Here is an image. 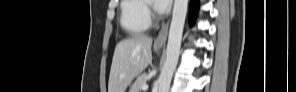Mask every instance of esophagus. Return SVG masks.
<instances>
[{
	"instance_id": "34e87169",
	"label": "esophagus",
	"mask_w": 296,
	"mask_h": 92,
	"mask_svg": "<svg viewBox=\"0 0 296 92\" xmlns=\"http://www.w3.org/2000/svg\"><path fill=\"white\" fill-rule=\"evenodd\" d=\"M169 21H167L159 31V34L155 40V45L162 46L165 44L168 35Z\"/></svg>"
}]
</instances>
